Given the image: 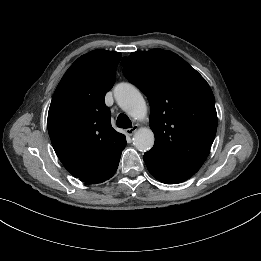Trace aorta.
<instances>
[{"instance_id": "aorta-1", "label": "aorta", "mask_w": 261, "mask_h": 261, "mask_svg": "<svg viewBox=\"0 0 261 261\" xmlns=\"http://www.w3.org/2000/svg\"><path fill=\"white\" fill-rule=\"evenodd\" d=\"M114 97L129 116L135 120H143L147 116V105L137 88L128 83H120L114 89ZM154 133L150 128H140L133 136V144L139 151H148L154 145Z\"/></svg>"}]
</instances>
